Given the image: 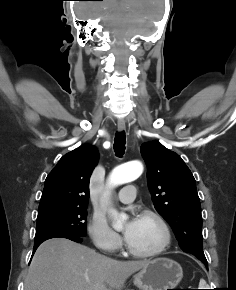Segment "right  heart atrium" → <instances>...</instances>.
I'll use <instances>...</instances> for the list:
<instances>
[{
	"mask_svg": "<svg viewBox=\"0 0 236 290\" xmlns=\"http://www.w3.org/2000/svg\"><path fill=\"white\" fill-rule=\"evenodd\" d=\"M88 233L94 245L108 253L121 246L120 236L111 229L107 221L99 216H92L88 223Z\"/></svg>",
	"mask_w": 236,
	"mask_h": 290,
	"instance_id": "right-heart-atrium-1",
	"label": "right heart atrium"
}]
</instances>
